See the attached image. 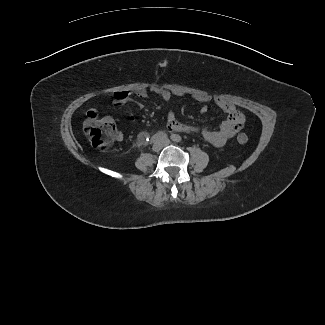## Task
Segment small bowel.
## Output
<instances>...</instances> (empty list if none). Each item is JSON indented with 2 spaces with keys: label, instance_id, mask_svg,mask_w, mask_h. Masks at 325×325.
Masks as SVG:
<instances>
[{
  "label": "small bowel",
  "instance_id": "1",
  "mask_svg": "<svg viewBox=\"0 0 325 325\" xmlns=\"http://www.w3.org/2000/svg\"><path fill=\"white\" fill-rule=\"evenodd\" d=\"M153 93L163 100H169L173 96L182 97L185 96L186 93L181 90L171 91L163 87H152L149 90L145 89H137L133 92L120 91L115 92L109 96V99L112 100L117 105H123L129 100L131 95H134L140 99H147ZM191 97L203 104H206L210 101V96L206 94L195 93L191 94ZM215 104L220 108L223 112L227 114V118L220 124L217 130L200 128L193 125H189L186 123H182L176 119V116L172 110L168 111L166 115V123L167 130L169 132H182V133H191L197 132L202 135V137L211 143L215 147H223L226 143L238 132L242 129L245 123L244 114L238 110L232 103L228 102L223 98H216ZM143 110V106L141 104H136L134 110L131 113V117L133 119L138 118L140 113ZM94 111L99 114L98 108H92L88 112ZM202 113H206L208 111V107L203 105L200 109ZM118 139L123 138L122 133H118Z\"/></svg>",
  "mask_w": 325,
  "mask_h": 325
}]
</instances>
